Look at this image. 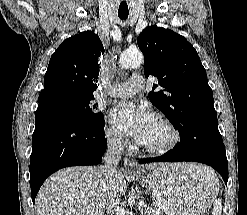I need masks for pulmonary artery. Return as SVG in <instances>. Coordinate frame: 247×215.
Returning <instances> with one entry per match:
<instances>
[{
  "instance_id": "pulmonary-artery-1",
  "label": "pulmonary artery",
  "mask_w": 247,
  "mask_h": 215,
  "mask_svg": "<svg viewBox=\"0 0 247 215\" xmlns=\"http://www.w3.org/2000/svg\"><path fill=\"white\" fill-rule=\"evenodd\" d=\"M145 86L142 76H131L127 81L113 85L109 94L113 97L126 98L140 92Z\"/></svg>"
}]
</instances>
